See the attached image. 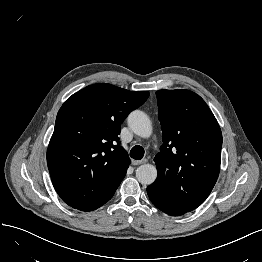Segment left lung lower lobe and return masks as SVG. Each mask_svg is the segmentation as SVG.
<instances>
[{
    "label": "left lung lower lobe",
    "mask_w": 262,
    "mask_h": 262,
    "mask_svg": "<svg viewBox=\"0 0 262 262\" xmlns=\"http://www.w3.org/2000/svg\"><path fill=\"white\" fill-rule=\"evenodd\" d=\"M147 194L151 202L161 211L164 213L171 215V216H180L183 215L185 212L179 211L170 205H168L161 197L157 196L155 193L151 191V188L147 187Z\"/></svg>",
    "instance_id": "0a47b994"
}]
</instances>
